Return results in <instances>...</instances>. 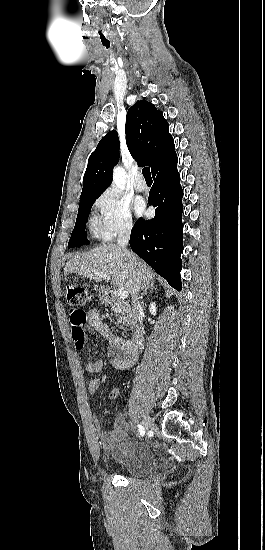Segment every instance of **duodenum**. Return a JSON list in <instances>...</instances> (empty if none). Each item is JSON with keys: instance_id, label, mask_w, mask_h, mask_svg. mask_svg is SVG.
<instances>
[{"instance_id": "410a0bca", "label": "duodenum", "mask_w": 265, "mask_h": 550, "mask_svg": "<svg viewBox=\"0 0 265 550\" xmlns=\"http://www.w3.org/2000/svg\"><path fill=\"white\" fill-rule=\"evenodd\" d=\"M101 297L105 303H111L113 301L112 295L108 291H103ZM133 350L138 351L142 348L144 343V333L141 329H137L131 339H128Z\"/></svg>"}]
</instances>
